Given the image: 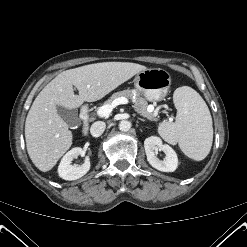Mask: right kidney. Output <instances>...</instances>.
<instances>
[{
  "label": "right kidney",
  "mask_w": 247,
  "mask_h": 247,
  "mask_svg": "<svg viewBox=\"0 0 247 247\" xmlns=\"http://www.w3.org/2000/svg\"><path fill=\"white\" fill-rule=\"evenodd\" d=\"M84 151L80 147H75L68 151L58 166V174L64 180H77L84 176L90 169L89 158H86L82 165H72L73 159L83 155Z\"/></svg>",
  "instance_id": "ca27d5eb"
}]
</instances>
